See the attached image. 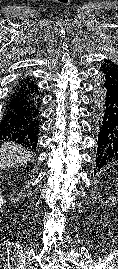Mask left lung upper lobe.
<instances>
[{
  "label": "left lung upper lobe",
  "mask_w": 118,
  "mask_h": 269,
  "mask_svg": "<svg viewBox=\"0 0 118 269\" xmlns=\"http://www.w3.org/2000/svg\"><path fill=\"white\" fill-rule=\"evenodd\" d=\"M102 67L105 89L118 93V65L110 60H105Z\"/></svg>",
  "instance_id": "left-lung-upper-lobe-1"
}]
</instances>
